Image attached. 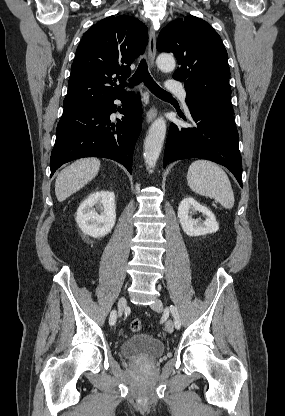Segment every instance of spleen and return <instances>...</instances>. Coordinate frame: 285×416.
<instances>
[{
    "instance_id": "3e777b00",
    "label": "spleen",
    "mask_w": 285,
    "mask_h": 416,
    "mask_svg": "<svg viewBox=\"0 0 285 416\" xmlns=\"http://www.w3.org/2000/svg\"><path fill=\"white\" fill-rule=\"evenodd\" d=\"M187 184L195 194L213 198L223 208L231 210L235 198L230 180L224 170L206 160H197L189 166Z\"/></svg>"
}]
</instances>
